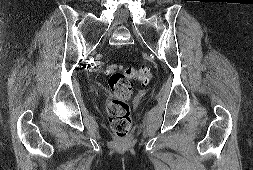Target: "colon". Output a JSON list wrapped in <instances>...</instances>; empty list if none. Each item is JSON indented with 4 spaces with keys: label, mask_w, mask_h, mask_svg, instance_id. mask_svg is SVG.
<instances>
[{
    "label": "colon",
    "mask_w": 253,
    "mask_h": 170,
    "mask_svg": "<svg viewBox=\"0 0 253 170\" xmlns=\"http://www.w3.org/2000/svg\"><path fill=\"white\" fill-rule=\"evenodd\" d=\"M105 71L109 75V85L113 92L107 107L108 120L117 139L125 140L131 125L128 101L132 95V81L148 83L152 79V71L148 66L122 68L117 63H109Z\"/></svg>",
    "instance_id": "5ec220e1"
}]
</instances>
